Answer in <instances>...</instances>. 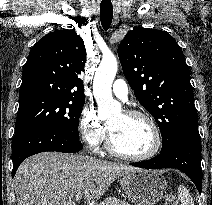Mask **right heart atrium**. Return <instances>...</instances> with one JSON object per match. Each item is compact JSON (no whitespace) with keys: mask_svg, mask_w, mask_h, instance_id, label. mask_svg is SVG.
Segmentation results:
<instances>
[{"mask_svg":"<svg viewBox=\"0 0 212 205\" xmlns=\"http://www.w3.org/2000/svg\"><path fill=\"white\" fill-rule=\"evenodd\" d=\"M78 130L82 142L93 150H98L106 138L105 130L96 112L90 107L83 109Z\"/></svg>","mask_w":212,"mask_h":205,"instance_id":"right-heart-atrium-1","label":"right heart atrium"}]
</instances>
